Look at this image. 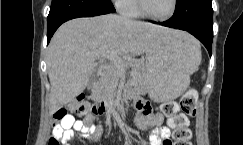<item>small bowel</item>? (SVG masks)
<instances>
[{
    "instance_id": "1",
    "label": "small bowel",
    "mask_w": 243,
    "mask_h": 145,
    "mask_svg": "<svg viewBox=\"0 0 243 145\" xmlns=\"http://www.w3.org/2000/svg\"><path fill=\"white\" fill-rule=\"evenodd\" d=\"M136 108L138 115L135 123L139 130L146 131L153 128L149 136V145H168L170 141V130L162 126L164 117L161 113L153 112L150 105L144 101L137 100ZM75 131L83 138L97 141L102 134L101 126L93 124V117L88 115L84 120H75L72 115H68L58 122L52 133L61 141V145H69V141L75 136Z\"/></svg>"
}]
</instances>
